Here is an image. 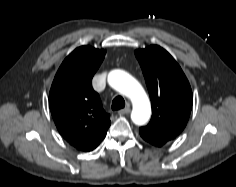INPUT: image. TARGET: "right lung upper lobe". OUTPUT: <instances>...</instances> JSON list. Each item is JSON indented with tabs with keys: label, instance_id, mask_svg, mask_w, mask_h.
<instances>
[{
	"label": "right lung upper lobe",
	"instance_id": "1",
	"mask_svg": "<svg viewBox=\"0 0 236 187\" xmlns=\"http://www.w3.org/2000/svg\"><path fill=\"white\" fill-rule=\"evenodd\" d=\"M105 53L90 46L76 48L59 67L49 93L50 111L60 134L85 152L100 144L111 124L91 85Z\"/></svg>",
	"mask_w": 236,
	"mask_h": 187
}]
</instances>
